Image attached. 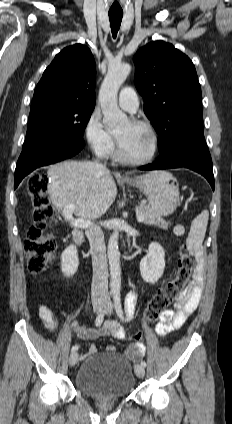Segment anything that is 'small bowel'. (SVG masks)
<instances>
[{"mask_svg": "<svg viewBox=\"0 0 232 424\" xmlns=\"http://www.w3.org/2000/svg\"><path fill=\"white\" fill-rule=\"evenodd\" d=\"M203 281V265L202 257L200 256L192 282L180 294L177 301L175 302L174 308L165 310L159 316L160 321L156 326V332L159 335L165 336L180 329L183 326L187 317L193 311H195L199 304ZM136 300V293L134 291H130L125 297L126 307L129 305L135 306ZM39 315L47 330H49L51 333H54L56 331L57 325L51 309L46 305H42L39 308ZM69 325L70 328L77 334V336L83 340H95L103 336H111L116 339L125 338L124 329L117 321H106L100 328H87L80 326L75 320H70ZM107 351L115 352L116 347L114 345H108ZM97 352V346L92 344L90 345L87 354L93 355ZM144 352L145 347L141 343H134L129 345L125 350V354L133 361H139Z\"/></svg>", "mask_w": 232, "mask_h": 424, "instance_id": "c3829d8e", "label": "small bowel"}]
</instances>
